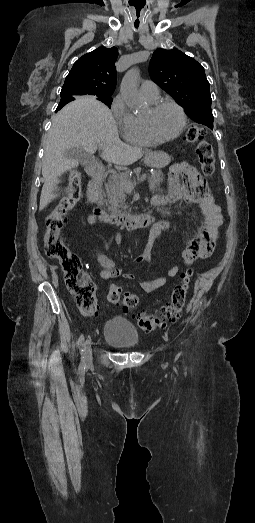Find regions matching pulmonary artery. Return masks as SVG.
Wrapping results in <instances>:
<instances>
[{
  "label": "pulmonary artery",
  "mask_w": 255,
  "mask_h": 523,
  "mask_svg": "<svg viewBox=\"0 0 255 523\" xmlns=\"http://www.w3.org/2000/svg\"><path fill=\"white\" fill-rule=\"evenodd\" d=\"M142 96L156 99L159 97L160 91L155 83L144 81L140 87Z\"/></svg>",
  "instance_id": "e3ab8cb5"
}]
</instances>
